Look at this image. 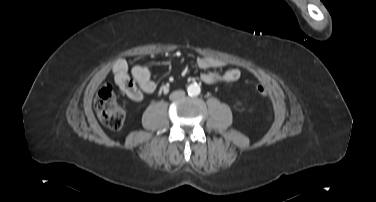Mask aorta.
<instances>
[{
  "label": "aorta",
  "instance_id": "1",
  "mask_svg": "<svg viewBox=\"0 0 376 202\" xmlns=\"http://www.w3.org/2000/svg\"><path fill=\"white\" fill-rule=\"evenodd\" d=\"M187 92L190 96H197L200 94L201 88L198 84L193 83L188 86Z\"/></svg>",
  "mask_w": 376,
  "mask_h": 202
}]
</instances>
